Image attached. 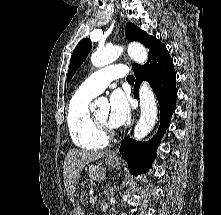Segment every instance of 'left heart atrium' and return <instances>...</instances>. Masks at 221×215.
<instances>
[{"instance_id": "39dd6f15", "label": "left heart atrium", "mask_w": 221, "mask_h": 215, "mask_svg": "<svg viewBox=\"0 0 221 215\" xmlns=\"http://www.w3.org/2000/svg\"><path fill=\"white\" fill-rule=\"evenodd\" d=\"M130 117V105L127 95L120 89L110 95L108 123L111 127L122 126Z\"/></svg>"}]
</instances>
